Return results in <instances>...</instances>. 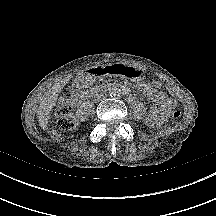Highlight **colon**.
I'll use <instances>...</instances> for the list:
<instances>
[{
  "mask_svg": "<svg viewBox=\"0 0 216 216\" xmlns=\"http://www.w3.org/2000/svg\"><path fill=\"white\" fill-rule=\"evenodd\" d=\"M182 116L180 110H174L171 114L173 120H178ZM57 126L64 131H70L76 128L77 120L73 115L71 103L66 99H60L56 108Z\"/></svg>",
  "mask_w": 216,
  "mask_h": 216,
  "instance_id": "1",
  "label": "colon"
}]
</instances>
